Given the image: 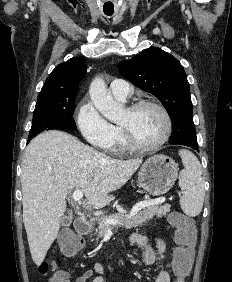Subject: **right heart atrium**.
Here are the masks:
<instances>
[{
    "mask_svg": "<svg viewBox=\"0 0 232 282\" xmlns=\"http://www.w3.org/2000/svg\"><path fill=\"white\" fill-rule=\"evenodd\" d=\"M76 123L82 136L90 145L102 150L113 148L116 139L114 126L87 98H84L78 105Z\"/></svg>",
    "mask_w": 232,
    "mask_h": 282,
    "instance_id": "d8ad5b80",
    "label": "right heart atrium"
}]
</instances>
